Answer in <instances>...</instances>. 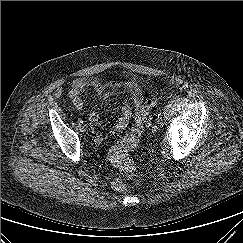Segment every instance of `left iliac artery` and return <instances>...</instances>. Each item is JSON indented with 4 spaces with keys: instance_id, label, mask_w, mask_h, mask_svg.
I'll list each match as a JSON object with an SVG mask.
<instances>
[{
    "instance_id": "1",
    "label": "left iliac artery",
    "mask_w": 243,
    "mask_h": 243,
    "mask_svg": "<svg viewBox=\"0 0 243 243\" xmlns=\"http://www.w3.org/2000/svg\"><path fill=\"white\" fill-rule=\"evenodd\" d=\"M158 118H161V113L158 114Z\"/></svg>"
}]
</instances>
